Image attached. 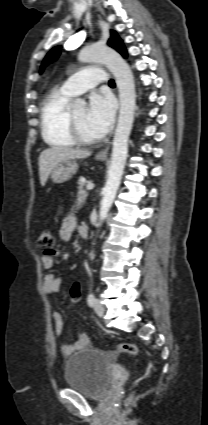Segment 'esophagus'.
<instances>
[{"mask_svg":"<svg viewBox=\"0 0 208 425\" xmlns=\"http://www.w3.org/2000/svg\"><path fill=\"white\" fill-rule=\"evenodd\" d=\"M108 152H109V146H107V147H105L104 149H102L101 151H99V152L97 153V156H98V157H107Z\"/></svg>","mask_w":208,"mask_h":425,"instance_id":"obj_1","label":"esophagus"}]
</instances>
